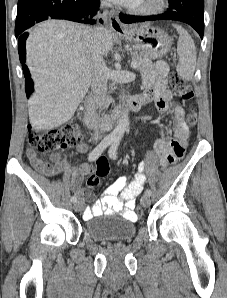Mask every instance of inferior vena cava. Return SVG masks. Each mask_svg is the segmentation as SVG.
I'll return each instance as SVG.
<instances>
[{
	"label": "inferior vena cava",
	"mask_w": 227,
	"mask_h": 298,
	"mask_svg": "<svg viewBox=\"0 0 227 298\" xmlns=\"http://www.w3.org/2000/svg\"><path fill=\"white\" fill-rule=\"evenodd\" d=\"M107 2L102 1V6H106ZM87 52L90 59L92 84L91 88L99 102H103L107 93V77H106V65L103 60V54L100 42L98 40L96 28H87ZM94 139L101 138L98 130L94 133Z\"/></svg>",
	"instance_id": "inferior-vena-cava-1"
}]
</instances>
